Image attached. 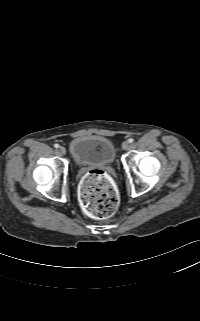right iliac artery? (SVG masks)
<instances>
[{
    "mask_svg": "<svg viewBox=\"0 0 200 321\" xmlns=\"http://www.w3.org/2000/svg\"><path fill=\"white\" fill-rule=\"evenodd\" d=\"M54 147H55V148H59V144H55Z\"/></svg>",
    "mask_w": 200,
    "mask_h": 321,
    "instance_id": "1",
    "label": "right iliac artery"
}]
</instances>
